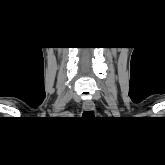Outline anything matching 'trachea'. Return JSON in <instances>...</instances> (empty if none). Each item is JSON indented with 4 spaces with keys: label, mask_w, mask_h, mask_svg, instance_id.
I'll list each match as a JSON object with an SVG mask.
<instances>
[{
    "label": "trachea",
    "mask_w": 165,
    "mask_h": 165,
    "mask_svg": "<svg viewBox=\"0 0 165 165\" xmlns=\"http://www.w3.org/2000/svg\"><path fill=\"white\" fill-rule=\"evenodd\" d=\"M84 117H93L94 116V112L93 111H87L83 113Z\"/></svg>",
    "instance_id": "1"
}]
</instances>
